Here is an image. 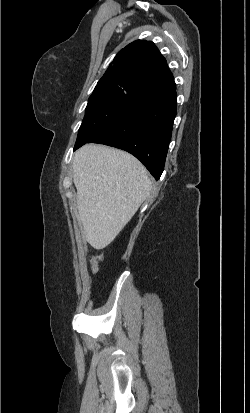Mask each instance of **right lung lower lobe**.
<instances>
[{"label": "right lung lower lobe", "mask_w": 250, "mask_h": 413, "mask_svg": "<svg viewBox=\"0 0 250 413\" xmlns=\"http://www.w3.org/2000/svg\"><path fill=\"white\" fill-rule=\"evenodd\" d=\"M176 105V88L139 96L87 143H101L131 153L158 180L164 170Z\"/></svg>", "instance_id": "obj_1"}]
</instances>
